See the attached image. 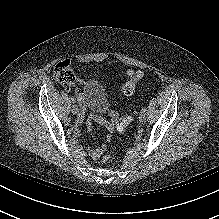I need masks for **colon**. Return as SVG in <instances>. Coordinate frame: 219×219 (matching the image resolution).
Wrapping results in <instances>:
<instances>
[{
	"instance_id": "1",
	"label": "colon",
	"mask_w": 219,
	"mask_h": 219,
	"mask_svg": "<svg viewBox=\"0 0 219 219\" xmlns=\"http://www.w3.org/2000/svg\"><path fill=\"white\" fill-rule=\"evenodd\" d=\"M54 78L57 82L62 85H70L75 78L74 68L69 60H63L56 64L53 71ZM140 75L138 72H131L129 79L121 86V92L124 95H131L135 90V84L139 79ZM93 120V115L89 118V124ZM133 116L131 112H127L124 116L117 118L113 117L112 122L109 124V129H115L118 133L122 134L126 128L132 122ZM110 159V155H105L103 161L106 162Z\"/></svg>"
}]
</instances>
